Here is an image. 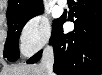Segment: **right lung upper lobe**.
<instances>
[{
	"label": "right lung upper lobe",
	"mask_w": 102,
	"mask_h": 75,
	"mask_svg": "<svg viewBox=\"0 0 102 75\" xmlns=\"http://www.w3.org/2000/svg\"><path fill=\"white\" fill-rule=\"evenodd\" d=\"M43 7L42 0H8L7 16Z\"/></svg>",
	"instance_id": "cb5924a9"
}]
</instances>
